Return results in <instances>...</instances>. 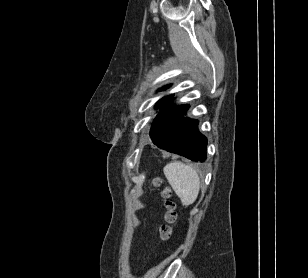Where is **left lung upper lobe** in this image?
I'll return each instance as SVG.
<instances>
[{"label":"left lung upper lobe","mask_w":308,"mask_h":278,"mask_svg":"<svg viewBox=\"0 0 308 278\" xmlns=\"http://www.w3.org/2000/svg\"><path fill=\"white\" fill-rule=\"evenodd\" d=\"M168 87H170V85H167V86H164L161 90H165L167 89ZM174 95H169V96H166L162 99H160L157 103H156V109H162L164 108L170 101L171 99L173 98Z\"/></svg>","instance_id":"1"}]
</instances>
